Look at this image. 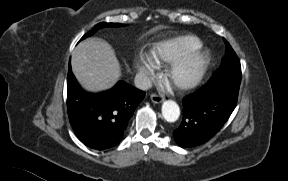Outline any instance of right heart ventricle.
I'll use <instances>...</instances> for the list:
<instances>
[{"label": "right heart ventricle", "instance_id": "right-heart-ventricle-1", "mask_svg": "<svg viewBox=\"0 0 288 181\" xmlns=\"http://www.w3.org/2000/svg\"><path fill=\"white\" fill-rule=\"evenodd\" d=\"M201 47L202 41L197 36L177 35L155 44L149 56L158 63H175Z\"/></svg>", "mask_w": 288, "mask_h": 181}]
</instances>
